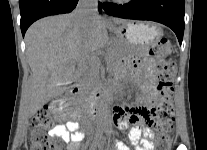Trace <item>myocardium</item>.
Wrapping results in <instances>:
<instances>
[{
	"instance_id": "myocardium-1",
	"label": "myocardium",
	"mask_w": 207,
	"mask_h": 150,
	"mask_svg": "<svg viewBox=\"0 0 207 150\" xmlns=\"http://www.w3.org/2000/svg\"><path fill=\"white\" fill-rule=\"evenodd\" d=\"M113 1L119 4H127L133 2L134 0H113Z\"/></svg>"
}]
</instances>
